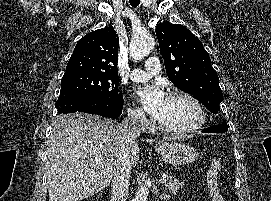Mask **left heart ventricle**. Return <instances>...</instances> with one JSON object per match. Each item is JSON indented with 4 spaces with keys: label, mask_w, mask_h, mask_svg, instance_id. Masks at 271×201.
<instances>
[{
    "label": "left heart ventricle",
    "mask_w": 271,
    "mask_h": 201,
    "mask_svg": "<svg viewBox=\"0 0 271 201\" xmlns=\"http://www.w3.org/2000/svg\"><path fill=\"white\" fill-rule=\"evenodd\" d=\"M196 120L197 112L191 103L180 98H168L165 113L159 121L169 129L183 130Z\"/></svg>",
    "instance_id": "b2bd125f"
}]
</instances>
